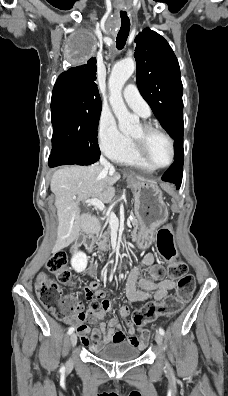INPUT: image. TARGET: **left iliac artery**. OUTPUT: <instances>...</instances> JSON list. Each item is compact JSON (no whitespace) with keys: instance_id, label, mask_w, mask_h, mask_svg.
Wrapping results in <instances>:
<instances>
[{"instance_id":"obj_1","label":"left iliac artery","mask_w":228,"mask_h":396,"mask_svg":"<svg viewBox=\"0 0 228 396\" xmlns=\"http://www.w3.org/2000/svg\"><path fill=\"white\" fill-rule=\"evenodd\" d=\"M159 333H160L161 335H164V334H165L164 329L160 327V328H159Z\"/></svg>"}]
</instances>
